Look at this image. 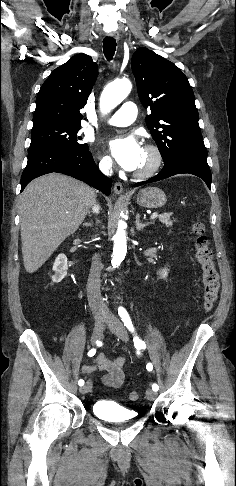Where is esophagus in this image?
I'll return each instance as SVG.
<instances>
[{
	"instance_id": "esophagus-1",
	"label": "esophagus",
	"mask_w": 236,
	"mask_h": 486,
	"mask_svg": "<svg viewBox=\"0 0 236 486\" xmlns=\"http://www.w3.org/2000/svg\"><path fill=\"white\" fill-rule=\"evenodd\" d=\"M109 36L113 37L117 41L120 39L118 32H111V33H109ZM114 193L117 194V195H121L123 193V186H122L121 183L116 182L114 184Z\"/></svg>"
}]
</instances>
